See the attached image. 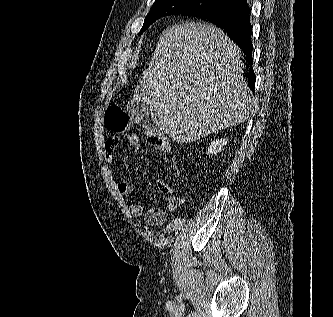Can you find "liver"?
<instances>
[{"instance_id": "1", "label": "liver", "mask_w": 333, "mask_h": 317, "mask_svg": "<svg viewBox=\"0 0 333 317\" xmlns=\"http://www.w3.org/2000/svg\"><path fill=\"white\" fill-rule=\"evenodd\" d=\"M240 58L221 29L174 25L160 36L133 100L147 103L156 127L178 143L239 125L256 105Z\"/></svg>"}]
</instances>
